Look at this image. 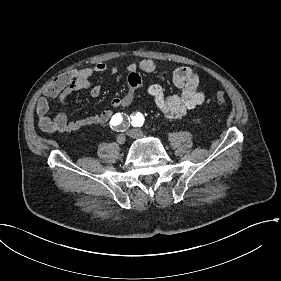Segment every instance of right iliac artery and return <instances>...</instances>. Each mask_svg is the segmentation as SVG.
Listing matches in <instances>:
<instances>
[{"instance_id":"right-iliac-artery-1","label":"right iliac artery","mask_w":281,"mask_h":281,"mask_svg":"<svg viewBox=\"0 0 281 281\" xmlns=\"http://www.w3.org/2000/svg\"><path fill=\"white\" fill-rule=\"evenodd\" d=\"M111 128L117 132H124L130 126V118L128 115L123 113H116L111 121H110Z\"/></svg>"}]
</instances>
